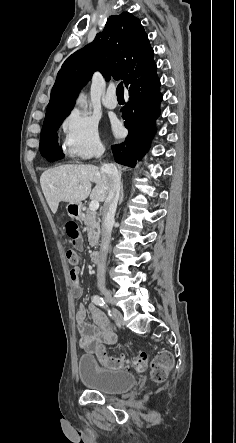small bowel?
Instances as JSON below:
<instances>
[{"mask_svg": "<svg viewBox=\"0 0 236 443\" xmlns=\"http://www.w3.org/2000/svg\"><path fill=\"white\" fill-rule=\"evenodd\" d=\"M78 249H82V240L79 239L75 243ZM78 281L73 283V294L78 297L82 293V288L79 281V271L75 269ZM87 312L90 313L91 318L97 327L86 323ZM76 322L80 334V344L88 352H94L96 345L100 341L105 344L112 345L116 342V335L113 331L109 317L99 310L96 306L90 305L88 309L84 305L78 307L76 313Z\"/></svg>", "mask_w": 236, "mask_h": 443, "instance_id": "obj_1", "label": "small bowel"}]
</instances>
